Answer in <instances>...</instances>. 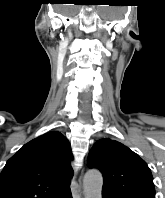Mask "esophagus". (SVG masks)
Wrapping results in <instances>:
<instances>
[{
  "label": "esophagus",
  "instance_id": "obj_1",
  "mask_svg": "<svg viewBox=\"0 0 165 198\" xmlns=\"http://www.w3.org/2000/svg\"><path fill=\"white\" fill-rule=\"evenodd\" d=\"M76 198H81L80 188L77 189V195Z\"/></svg>",
  "mask_w": 165,
  "mask_h": 198
}]
</instances>
